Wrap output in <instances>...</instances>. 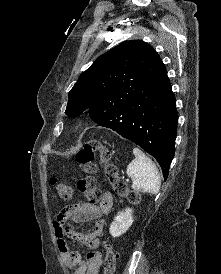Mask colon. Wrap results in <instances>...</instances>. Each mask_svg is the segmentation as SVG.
<instances>
[{
    "label": "colon",
    "instance_id": "5ec220e1",
    "mask_svg": "<svg viewBox=\"0 0 221 274\" xmlns=\"http://www.w3.org/2000/svg\"><path fill=\"white\" fill-rule=\"evenodd\" d=\"M96 152L100 153L101 164L114 192L117 195L126 198L130 203H138V193L130 190L125 180L119 176L116 166L110 162V151L98 141L87 142L76 154L80 169L87 174L85 178L78 181L77 188L83 192L86 198L92 203H97L102 200V192L97 187L96 181L92 177V174L96 170V165L94 163ZM52 184L64 199H69L72 196V189L69 186L59 183L55 179L52 181ZM115 269L116 255L110 241H107L105 244L104 274H114Z\"/></svg>",
    "mask_w": 221,
    "mask_h": 274
}]
</instances>
